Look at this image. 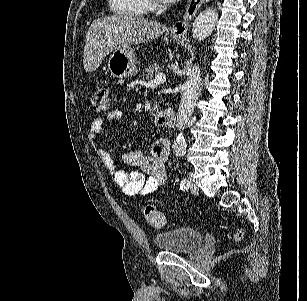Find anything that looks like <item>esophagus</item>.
Returning <instances> with one entry per match:
<instances>
[{"label": "esophagus", "mask_w": 307, "mask_h": 301, "mask_svg": "<svg viewBox=\"0 0 307 301\" xmlns=\"http://www.w3.org/2000/svg\"><path fill=\"white\" fill-rule=\"evenodd\" d=\"M204 2L205 0H189L183 17L180 20H177L171 28L170 33L175 40H184L189 23Z\"/></svg>", "instance_id": "1"}]
</instances>
